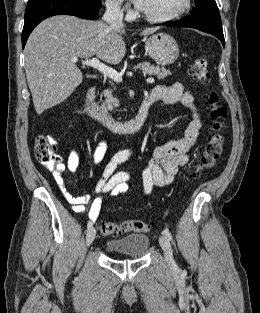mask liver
Segmentation results:
<instances>
[{
    "label": "liver",
    "mask_w": 260,
    "mask_h": 313,
    "mask_svg": "<svg viewBox=\"0 0 260 313\" xmlns=\"http://www.w3.org/2000/svg\"><path fill=\"white\" fill-rule=\"evenodd\" d=\"M158 28H147L149 35ZM124 27L102 21L57 15L42 21L25 46V71L37 114L66 100L82 83L83 75L73 57L96 55L109 64H118L126 53Z\"/></svg>",
    "instance_id": "obj_1"
}]
</instances>
